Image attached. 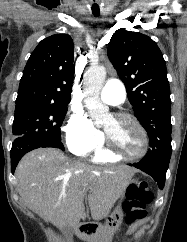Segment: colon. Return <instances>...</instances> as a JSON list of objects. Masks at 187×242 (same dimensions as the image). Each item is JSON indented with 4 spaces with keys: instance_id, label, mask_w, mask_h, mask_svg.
I'll return each mask as SVG.
<instances>
[{
    "instance_id": "obj_1",
    "label": "colon",
    "mask_w": 187,
    "mask_h": 242,
    "mask_svg": "<svg viewBox=\"0 0 187 242\" xmlns=\"http://www.w3.org/2000/svg\"><path fill=\"white\" fill-rule=\"evenodd\" d=\"M153 194L146 182L133 184L128 188L127 200L123 204L126 222L133 224L146 217V206L151 203Z\"/></svg>"
}]
</instances>
